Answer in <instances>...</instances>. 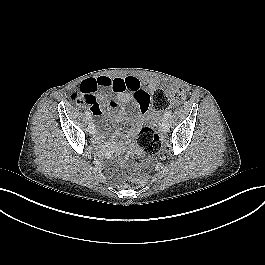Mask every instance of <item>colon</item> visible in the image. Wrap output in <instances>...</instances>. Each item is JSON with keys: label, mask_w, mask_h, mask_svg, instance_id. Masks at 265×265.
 Segmentation results:
<instances>
[{"label": "colon", "mask_w": 265, "mask_h": 265, "mask_svg": "<svg viewBox=\"0 0 265 265\" xmlns=\"http://www.w3.org/2000/svg\"><path fill=\"white\" fill-rule=\"evenodd\" d=\"M183 93L175 88H159L152 94V106L156 111H163L170 106L172 99H181ZM73 103L77 104L75 98L71 96ZM136 145L144 155L155 154L161 148V140L158 133L151 127H143L136 137ZM144 155H132L129 159V173L123 179L125 187L136 188L146 181V173L142 167L145 163Z\"/></svg>", "instance_id": "1"}]
</instances>
